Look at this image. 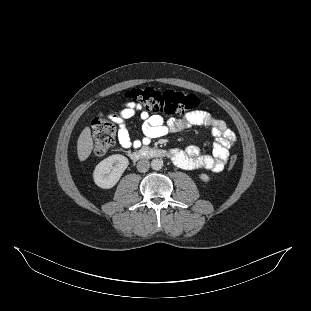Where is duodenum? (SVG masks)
<instances>
[{"mask_svg":"<svg viewBox=\"0 0 311 311\" xmlns=\"http://www.w3.org/2000/svg\"><path fill=\"white\" fill-rule=\"evenodd\" d=\"M128 155L133 161H138L142 159L170 157V153L167 152L166 150L160 149V148H151V147H144V148L129 152Z\"/></svg>","mask_w":311,"mask_h":311,"instance_id":"410a0bca","label":"duodenum"}]
</instances>
